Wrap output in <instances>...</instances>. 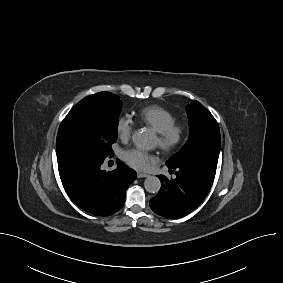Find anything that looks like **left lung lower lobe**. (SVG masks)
Instances as JSON below:
<instances>
[{
    "mask_svg": "<svg viewBox=\"0 0 283 283\" xmlns=\"http://www.w3.org/2000/svg\"><path fill=\"white\" fill-rule=\"evenodd\" d=\"M168 168L176 170V178L169 180L164 175L158 176L161 189L150 200V208L165 218L182 217L193 211L204 200L213 179L193 167L168 166Z\"/></svg>",
    "mask_w": 283,
    "mask_h": 283,
    "instance_id": "0a47b994",
    "label": "left lung lower lobe"
}]
</instances>
